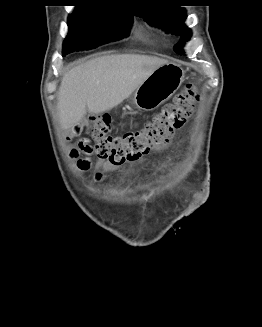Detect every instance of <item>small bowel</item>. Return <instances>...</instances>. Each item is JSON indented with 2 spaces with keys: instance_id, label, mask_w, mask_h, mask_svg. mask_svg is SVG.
Instances as JSON below:
<instances>
[{
  "instance_id": "1",
  "label": "small bowel",
  "mask_w": 262,
  "mask_h": 327,
  "mask_svg": "<svg viewBox=\"0 0 262 327\" xmlns=\"http://www.w3.org/2000/svg\"><path fill=\"white\" fill-rule=\"evenodd\" d=\"M82 130V125L81 124H75L71 130L69 131L67 138L71 139L73 136L78 135L81 133ZM169 146V141H166L162 144H159L157 146H155L153 148V152L154 153H160L162 151H164L165 149H167ZM82 151L79 149V147H74L71 148L69 151V156L73 159L77 160V167L79 170L81 171H86L88 169H90L92 163L91 160L89 158H79L80 153ZM95 167L97 170V173L95 174L94 178L97 181H100L104 178L105 173L108 172H113V171H117L118 170V166H114L112 164H110L107 161H104L102 159H97L96 163H95ZM198 194L199 195H204L205 194V189L204 188H199L198 189Z\"/></svg>"
}]
</instances>
